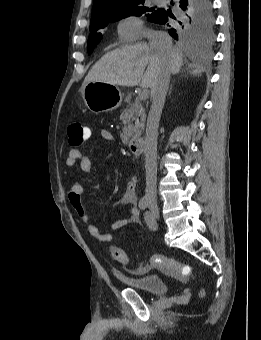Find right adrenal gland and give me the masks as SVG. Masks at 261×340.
<instances>
[{"mask_svg":"<svg viewBox=\"0 0 261 340\" xmlns=\"http://www.w3.org/2000/svg\"><path fill=\"white\" fill-rule=\"evenodd\" d=\"M171 90H172V85H171L170 90H169V95L171 94Z\"/></svg>","mask_w":261,"mask_h":340,"instance_id":"2a0ac1e0","label":"right adrenal gland"}]
</instances>
